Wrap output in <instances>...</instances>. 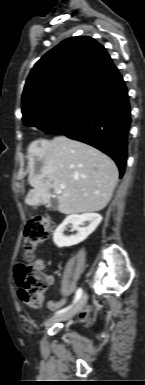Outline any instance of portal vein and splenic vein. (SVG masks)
Wrapping results in <instances>:
<instances>
[{
  "instance_id": "portal-vein-and-splenic-vein-1",
  "label": "portal vein and splenic vein",
  "mask_w": 145,
  "mask_h": 385,
  "mask_svg": "<svg viewBox=\"0 0 145 385\" xmlns=\"http://www.w3.org/2000/svg\"><path fill=\"white\" fill-rule=\"evenodd\" d=\"M59 187H60V189H64L65 188V184H60Z\"/></svg>"
}]
</instances>
